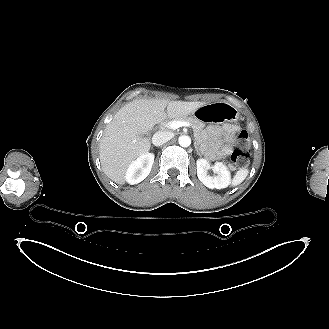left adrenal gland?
<instances>
[{"instance_id": "obj_1", "label": "left adrenal gland", "mask_w": 329, "mask_h": 329, "mask_svg": "<svg viewBox=\"0 0 329 329\" xmlns=\"http://www.w3.org/2000/svg\"><path fill=\"white\" fill-rule=\"evenodd\" d=\"M195 149H196V151H197V154L201 156V153H200V151L198 150V147H197L196 145H195Z\"/></svg>"}]
</instances>
